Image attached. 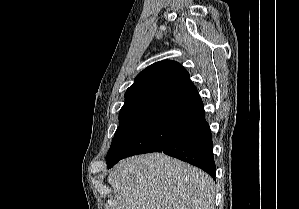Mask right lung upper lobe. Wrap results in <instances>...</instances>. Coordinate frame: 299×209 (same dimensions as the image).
<instances>
[{"mask_svg":"<svg viewBox=\"0 0 299 209\" xmlns=\"http://www.w3.org/2000/svg\"><path fill=\"white\" fill-rule=\"evenodd\" d=\"M189 82L188 72L178 62H156L137 75L125 92L123 106L145 102L161 104Z\"/></svg>","mask_w":299,"mask_h":209,"instance_id":"1","label":"right lung upper lobe"}]
</instances>
